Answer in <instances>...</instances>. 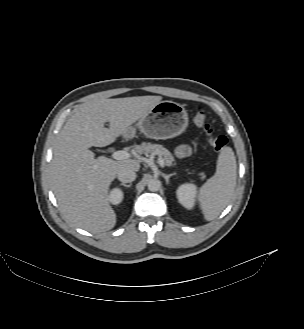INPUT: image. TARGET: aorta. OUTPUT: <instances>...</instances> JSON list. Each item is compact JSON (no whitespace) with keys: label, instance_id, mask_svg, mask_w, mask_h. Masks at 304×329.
<instances>
[{"label":"aorta","instance_id":"762f6f07","mask_svg":"<svg viewBox=\"0 0 304 329\" xmlns=\"http://www.w3.org/2000/svg\"><path fill=\"white\" fill-rule=\"evenodd\" d=\"M161 183L158 179H150L148 181V189L152 192L158 191Z\"/></svg>","mask_w":304,"mask_h":329}]
</instances>
